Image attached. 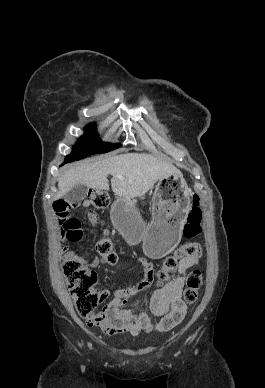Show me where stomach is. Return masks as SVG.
<instances>
[{"mask_svg":"<svg viewBox=\"0 0 265 388\" xmlns=\"http://www.w3.org/2000/svg\"><path fill=\"white\" fill-rule=\"evenodd\" d=\"M190 198L191 190L182 175H168L160 178L155 187L150 225H145L128 198L116 199L111 216L129 244L143 241L145 253L158 259L169 254L179 243L191 207Z\"/></svg>","mask_w":265,"mask_h":388,"instance_id":"0dacf381","label":"stomach"}]
</instances>
